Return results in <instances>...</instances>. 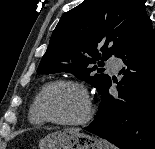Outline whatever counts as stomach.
<instances>
[{
	"instance_id": "obj_1",
	"label": "stomach",
	"mask_w": 155,
	"mask_h": 149,
	"mask_svg": "<svg viewBox=\"0 0 155 149\" xmlns=\"http://www.w3.org/2000/svg\"><path fill=\"white\" fill-rule=\"evenodd\" d=\"M39 147L40 149H110L105 141L71 129L48 134L40 140Z\"/></svg>"
}]
</instances>
